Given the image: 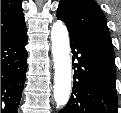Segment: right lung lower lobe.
Returning <instances> with one entry per match:
<instances>
[{"label":"right lung lower lobe","mask_w":121,"mask_h":113,"mask_svg":"<svg viewBox=\"0 0 121 113\" xmlns=\"http://www.w3.org/2000/svg\"><path fill=\"white\" fill-rule=\"evenodd\" d=\"M26 27L1 39V113H17L27 70Z\"/></svg>","instance_id":"98d812e1"}]
</instances>
